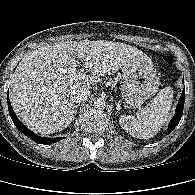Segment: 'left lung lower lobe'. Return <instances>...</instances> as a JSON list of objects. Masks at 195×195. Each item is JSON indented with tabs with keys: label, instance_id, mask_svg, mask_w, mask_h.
<instances>
[{
	"label": "left lung lower lobe",
	"instance_id": "0a47b994",
	"mask_svg": "<svg viewBox=\"0 0 195 195\" xmlns=\"http://www.w3.org/2000/svg\"><path fill=\"white\" fill-rule=\"evenodd\" d=\"M183 82H184V80H183ZM184 101H185V90L183 89L181 97H180L179 102H178V105L176 107L175 115H174V117L172 118V120L170 121V123L168 125V131L169 132L174 130V128L177 126V124L179 123V121L182 117Z\"/></svg>",
	"mask_w": 195,
	"mask_h": 195
}]
</instances>
